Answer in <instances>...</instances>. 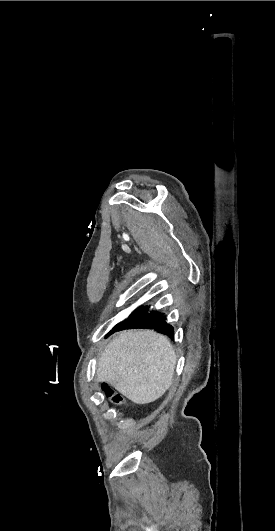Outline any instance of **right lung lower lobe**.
Listing matches in <instances>:
<instances>
[{"instance_id":"1","label":"right lung lower lobe","mask_w":275,"mask_h":531,"mask_svg":"<svg viewBox=\"0 0 275 531\" xmlns=\"http://www.w3.org/2000/svg\"><path fill=\"white\" fill-rule=\"evenodd\" d=\"M148 310V306L138 307L127 319L118 323L109 334L123 329L153 328L172 338L174 335V329L171 325L167 324L165 316L157 311L149 313Z\"/></svg>"}]
</instances>
